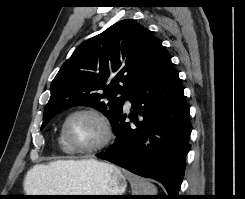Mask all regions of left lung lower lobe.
Masks as SVG:
<instances>
[{
  "label": "left lung lower lobe",
  "instance_id": "1",
  "mask_svg": "<svg viewBox=\"0 0 245 199\" xmlns=\"http://www.w3.org/2000/svg\"><path fill=\"white\" fill-rule=\"evenodd\" d=\"M127 99L132 103V123L125 122L122 108L111 122L115 143L97 157L161 182L169 199H176L184 176L191 126L178 71L165 50Z\"/></svg>",
  "mask_w": 245,
  "mask_h": 199
}]
</instances>
